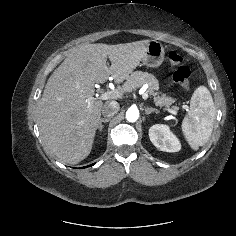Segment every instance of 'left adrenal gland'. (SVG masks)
I'll use <instances>...</instances> for the list:
<instances>
[{
  "label": "left adrenal gland",
  "instance_id": "a2214340",
  "mask_svg": "<svg viewBox=\"0 0 236 236\" xmlns=\"http://www.w3.org/2000/svg\"><path fill=\"white\" fill-rule=\"evenodd\" d=\"M151 113H158V110L157 109H155V108H145V114L146 115H149V114H151Z\"/></svg>",
  "mask_w": 236,
  "mask_h": 236
}]
</instances>
